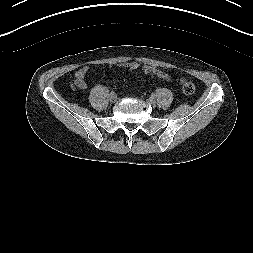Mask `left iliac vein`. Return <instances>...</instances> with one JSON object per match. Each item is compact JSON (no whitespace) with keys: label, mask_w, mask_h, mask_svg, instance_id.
Wrapping results in <instances>:
<instances>
[{"label":"left iliac vein","mask_w":253,"mask_h":253,"mask_svg":"<svg viewBox=\"0 0 253 253\" xmlns=\"http://www.w3.org/2000/svg\"><path fill=\"white\" fill-rule=\"evenodd\" d=\"M149 103L153 106V107H155L156 106V102H155V100H152L151 98H149Z\"/></svg>","instance_id":"left-iliac-vein-1"}]
</instances>
